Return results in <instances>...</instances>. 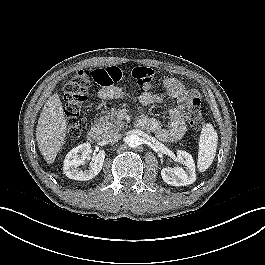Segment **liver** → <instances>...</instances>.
<instances>
[{"mask_svg": "<svg viewBox=\"0 0 265 265\" xmlns=\"http://www.w3.org/2000/svg\"><path fill=\"white\" fill-rule=\"evenodd\" d=\"M67 121L58 94L45 103L36 128L38 148L48 164H52L66 139Z\"/></svg>", "mask_w": 265, "mask_h": 265, "instance_id": "1", "label": "liver"}]
</instances>
